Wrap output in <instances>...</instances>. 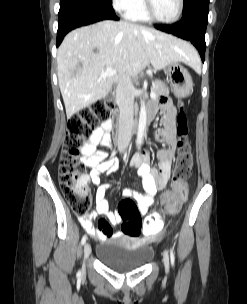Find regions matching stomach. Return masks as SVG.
I'll use <instances>...</instances> for the list:
<instances>
[{
    "label": "stomach",
    "mask_w": 247,
    "mask_h": 304,
    "mask_svg": "<svg viewBox=\"0 0 247 304\" xmlns=\"http://www.w3.org/2000/svg\"><path fill=\"white\" fill-rule=\"evenodd\" d=\"M171 89L176 97L188 96L193 88V81L188 70L181 64L172 63L167 67Z\"/></svg>",
    "instance_id": "0dacf381"
}]
</instances>
